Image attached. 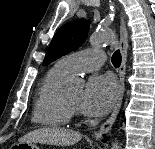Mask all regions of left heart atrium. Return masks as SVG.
Returning <instances> with one entry per match:
<instances>
[{"label": "left heart atrium", "mask_w": 155, "mask_h": 149, "mask_svg": "<svg viewBox=\"0 0 155 149\" xmlns=\"http://www.w3.org/2000/svg\"><path fill=\"white\" fill-rule=\"evenodd\" d=\"M118 93V84L111 75L93 77L86 85L79 108L85 115L103 116L114 105Z\"/></svg>", "instance_id": "obj_1"}]
</instances>
